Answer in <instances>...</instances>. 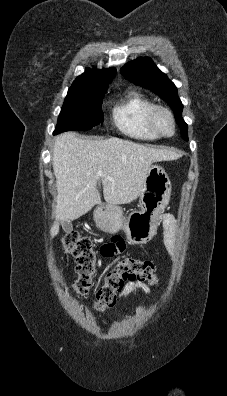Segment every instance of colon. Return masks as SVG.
<instances>
[{
    "label": "colon",
    "instance_id": "1",
    "mask_svg": "<svg viewBox=\"0 0 227 396\" xmlns=\"http://www.w3.org/2000/svg\"><path fill=\"white\" fill-rule=\"evenodd\" d=\"M63 248L66 253L76 258L78 278L74 282V289L82 297L90 289L97 253L91 239L77 232H70L64 237ZM135 281L157 284L154 265L149 260L126 257L106 273L103 284L96 292L95 310L102 312L112 307L125 285Z\"/></svg>",
    "mask_w": 227,
    "mask_h": 396
}]
</instances>
